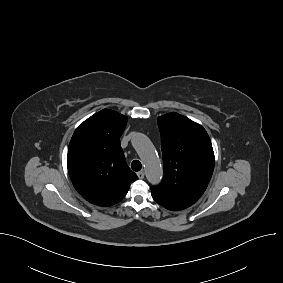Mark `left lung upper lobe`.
Here are the masks:
<instances>
[{
    "label": "left lung upper lobe",
    "instance_id": "5c2ea615",
    "mask_svg": "<svg viewBox=\"0 0 283 283\" xmlns=\"http://www.w3.org/2000/svg\"><path fill=\"white\" fill-rule=\"evenodd\" d=\"M164 177L151 193L171 210L194 204L206 190L214 169V152L206 130L171 112L158 118Z\"/></svg>",
    "mask_w": 283,
    "mask_h": 283
}]
</instances>
